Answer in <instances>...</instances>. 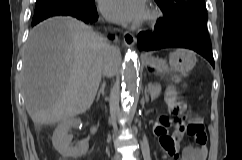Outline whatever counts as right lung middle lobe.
I'll use <instances>...</instances> for the list:
<instances>
[{"label":"right lung middle lobe","mask_w":242,"mask_h":160,"mask_svg":"<svg viewBox=\"0 0 242 160\" xmlns=\"http://www.w3.org/2000/svg\"><path fill=\"white\" fill-rule=\"evenodd\" d=\"M93 3L91 0H37L35 12L47 9L54 6H68V7H88ZM34 12V13H35Z\"/></svg>","instance_id":"1"}]
</instances>
